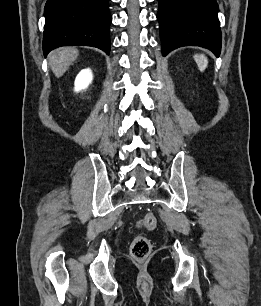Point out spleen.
Returning <instances> with one entry per match:
<instances>
[{"label": "spleen", "instance_id": "spleen-1", "mask_svg": "<svg viewBox=\"0 0 261 306\" xmlns=\"http://www.w3.org/2000/svg\"><path fill=\"white\" fill-rule=\"evenodd\" d=\"M194 59L200 69V71H204L207 68L208 60L204 54H197L194 56Z\"/></svg>", "mask_w": 261, "mask_h": 306}]
</instances>
